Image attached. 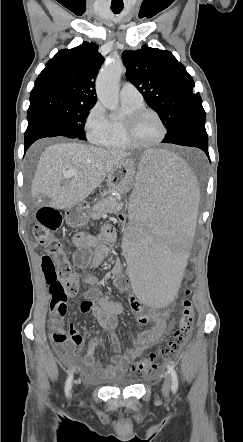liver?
I'll use <instances>...</instances> for the list:
<instances>
[{
	"label": "liver",
	"mask_w": 243,
	"mask_h": 442,
	"mask_svg": "<svg viewBox=\"0 0 243 442\" xmlns=\"http://www.w3.org/2000/svg\"><path fill=\"white\" fill-rule=\"evenodd\" d=\"M129 153L82 143H56L42 152L32 181L31 195H47L49 207L68 209L98 188L113 167ZM74 169L76 176L63 185V173Z\"/></svg>",
	"instance_id": "obj_1"
}]
</instances>
